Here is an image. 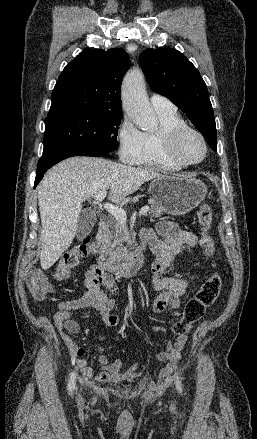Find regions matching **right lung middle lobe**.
<instances>
[{
	"instance_id": "right-lung-middle-lobe-1",
	"label": "right lung middle lobe",
	"mask_w": 257,
	"mask_h": 439,
	"mask_svg": "<svg viewBox=\"0 0 257 439\" xmlns=\"http://www.w3.org/2000/svg\"><path fill=\"white\" fill-rule=\"evenodd\" d=\"M121 116V112L75 110L47 117L43 155L82 148L114 151Z\"/></svg>"
}]
</instances>
